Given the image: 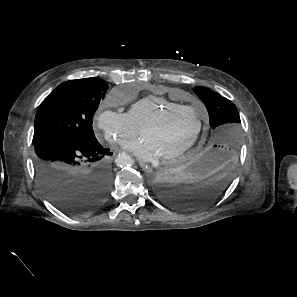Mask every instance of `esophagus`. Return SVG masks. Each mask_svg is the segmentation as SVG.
<instances>
[{"mask_svg":"<svg viewBox=\"0 0 297 297\" xmlns=\"http://www.w3.org/2000/svg\"><path fill=\"white\" fill-rule=\"evenodd\" d=\"M140 167L143 169V171L147 174H150L152 173L153 169L151 168L150 165L146 164V163H143V162H140Z\"/></svg>","mask_w":297,"mask_h":297,"instance_id":"esophagus-1","label":"esophagus"}]
</instances>
